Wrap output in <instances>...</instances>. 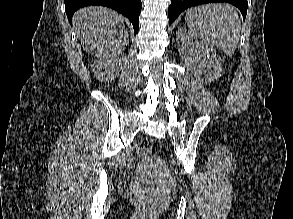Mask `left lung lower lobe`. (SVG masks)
<instances>
[{"label": "left lung lower lobe", "mask_w": 293, "mask_h": 219, "mask_svg": "<svg viewBox=\"0 0 293 219\" xmlns=\"http://www.w3.org/2000/svg\"><path fill=\"white\" fill-rule=\"evenodd\" d=\"M172 3L168 9L169 24L173 23L179 14L185 9L211 2H227L235 5L242 13L245 19L247 13V0H171Z\"/></svg>", "instance_id": "left-lung-lower-lobe-1"}]
</instances>
